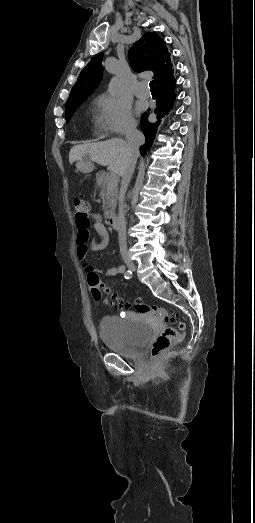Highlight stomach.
I'll return each instance as SVG.
<instances>
[{
  "label": "stomach",
  "instance_id": "obj_1",
  "mask_svg": "<svg viewBox=\"0 0 255 523\" xmlns=\"http://www.w3.org/2000/svg\"><path fill=\"white\" fill-rule=\"evenodd\" d=\"M91 170V164H84V166H82L81 168V172H83L84 174H87L88 172H90Z\"/></svg>",
  "mask_w": 255,
  "mask_h": 523
}]
</instances>
